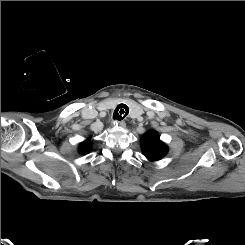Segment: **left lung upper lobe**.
<instances>
[{
	"instance_id": "5c2ea615",
	"label": "left lung upper lobe",
	"mask_w": 245,
	"mask_h": 245,
	"mask_svg": "<svg viewBox=\"0 0 245 245\" xmlns=\"http://www.w3.org/2000/svg\"><path fill=\"white\" fill-rule=\"evenodd\" d=\"M141 149L144 156L150 161L163 158L167 152V145L160 140V136L154 130L148 131L141 139Z\"/></svg>"
}]
</instances>
